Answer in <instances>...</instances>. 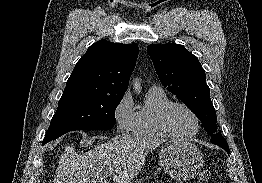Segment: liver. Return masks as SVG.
I'll use <instances>...</instances> for the list:
<instances>
[{"instance_id":"obj_1","label":"liver","mask_w":262,"mask_h":183,"mask_svg":"<svg viewBox=\"0 0 262 183\" xmlns=\"http://www.w3.org/2000/svg\"><path fill=\"white\" fill-rule=\"evenodd\" d=\"M165 140L121 134L79 155L73 146L61 154L54 183H129L140 172L150 151Z\"/></svg>"}]
</instances>
